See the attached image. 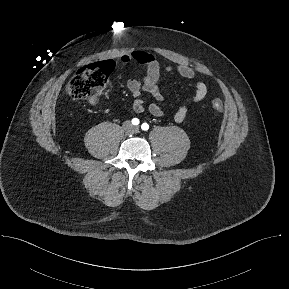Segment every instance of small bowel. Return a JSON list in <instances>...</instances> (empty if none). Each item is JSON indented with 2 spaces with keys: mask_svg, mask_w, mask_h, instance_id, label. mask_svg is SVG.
I'll use <instances>...</instances> for the list:
<instances>
[{
  "mask_svg": "<svg viewBox=\"0 0 289 289\" xmlns=\"http://www.w3.org/2000/svg\"><path fill=\"white\" fill-rule=\"evenodd\" d=\"M120 62L122 64H139L146 67V75L144 78L128 79L126 81V87L134 97L132 108L137 114L143 113L146 109L145 100L142 97V93L145 92L155 100V102L148 106L150 114L155 117H162L164 115V111L159 103L165 101V96L158 86L163 72L170 74L177 73L194 87V94L189 104L180 106L174 114V120L177 123L185 120L190 111V105L199 104L208 93L207 85L202 81L195 80V71L189 66H174L161 63L157 57L144 51H133L123 54L120 57Z\"/></svg>",
  "mask_w": 289,
  "mask_h": 289,
  "instance_id": "small-bowel-1",
  "label": "small bowel"
}]
</instances>
